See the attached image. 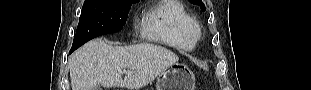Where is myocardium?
<instances>
[{
    "mask_svg": "<svg viewBox=\"0 0 311 90\" xmlns=\"http://www.w3.org/2000/svg\"><path fill=\"white\" fill-rule=\"evenodd\" d=\"M192 36L195 41L199 40V38L201 37V29L198 24L193 28Z\"/></svg>",
    "mask_w": 311,
    "mask_h": 90,
    "instance_id": "obj_1",
    "label": "myocardium"
}]
</instances>
